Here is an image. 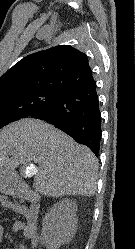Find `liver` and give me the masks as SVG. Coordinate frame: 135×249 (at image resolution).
Listing matches in <instances>:
<instances>
[{
    "label": "liver",
    "instance_id": "liver-1",
    "mask_svg": "<svg viewBox=\"0 0 135 249\" xmlns=\"http://www.w3.org/2000/svg\"><path fill=\"white\" fill-rule=\"evenodd\" d=\"M34 161V189L42 195L93 196L97 190L98 160L92 151L54 126L33 118L0 130V169L14 171Z\"/></svg>",
    "mask_w": 135,
    "mask_h": 249
}]
</instances>
